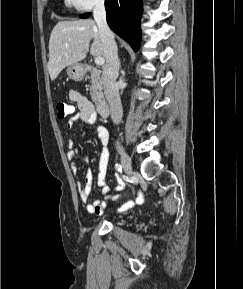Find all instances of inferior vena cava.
I'll return each instance as SVG.
<instances>
[{
  "label": "inferior vena cava",
  "instance_id": "602c4592",
  "mask_svg": "<svg viewBox=\"0 0 243 289\" xmlns=\"http://www.w3.org/2000/svg\"><path fill=\"white\" fill-rule=\"evenodd\" d=\"M93 15L99 29L100 38L103 42L104 57L106 59V65L103 70L104 92L110 105L112 121L118 124L123 116L119 90L115 83L119 75L120 62L114 35L106 21L104 0H96ZM116 148L119 150L122 149L119 142H117Z\"/></svg>",
  "mask_w": 243,
  "mask_h": 289
}]
</instances>
